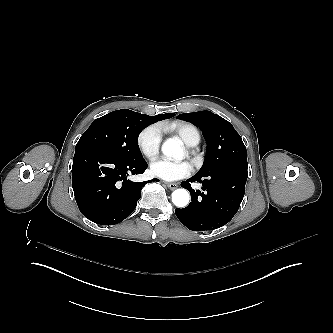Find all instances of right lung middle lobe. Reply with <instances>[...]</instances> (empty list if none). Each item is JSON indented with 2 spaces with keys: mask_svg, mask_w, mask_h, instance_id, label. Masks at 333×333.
Wrapping results in <instances>:
<instances>
[{
  "mask_svg": "<svg viewBox=\"0 0 333 333\" xmlns=\"http://www.w3.org/2000/svg\"><path fill=\"white\" fill-rule=\"evenodd\" d=\"M152 123L147 115L128 109L114 111L94 120L76 147L95 146L117 158L140 161L144 158L138 147V136Z\"/></svg>",
  "mask_w": 333,
  "mask_h": 333,
  "instance_id": "1",
  "label": "right lung middle lobe"
}]
</instances>
